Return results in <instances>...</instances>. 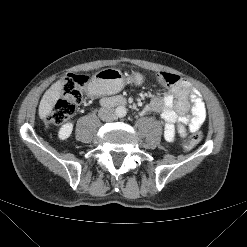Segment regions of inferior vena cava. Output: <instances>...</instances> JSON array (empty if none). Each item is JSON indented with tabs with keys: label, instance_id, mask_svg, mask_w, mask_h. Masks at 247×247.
<instances>
[{
	"label": "inferior vena cava",
	"instance_id": "obj_1",
	"mask_svg": "<svg viewBox=\"0 0 247 247\" xmlns=\"http://www.w3.org/2000/svg\"><path fill=\"white\" fill-rule=\"evenodd\" d=\"M98 116L105 122H111L116 119V113L112 108H100L98 111Z\"/></svg>",
	"mask_w": 247,
	"mask_h": 247
}]
</instances>
